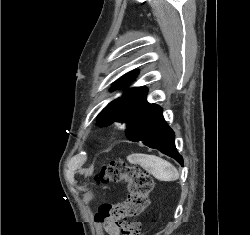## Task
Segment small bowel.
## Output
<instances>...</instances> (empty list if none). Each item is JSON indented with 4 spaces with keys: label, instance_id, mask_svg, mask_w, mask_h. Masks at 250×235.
<instances>
[{
    "label": "small bowel",
    "instance_id": "c3829d8e",
    "mask_svg": "<svg viewBox=\"0 0 250 235\" xmlns=\"http://www.w3.org/2000/svg\"><path fill=\"white\" fill-rule=\"evenodd\" d=\"M104 230L108 235H120V229L116 225H104Z\"/></svg>",
    "mask_w": 250,
    "mask_h": 235
}]
</instances>
